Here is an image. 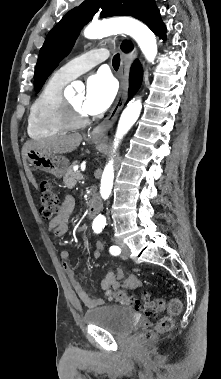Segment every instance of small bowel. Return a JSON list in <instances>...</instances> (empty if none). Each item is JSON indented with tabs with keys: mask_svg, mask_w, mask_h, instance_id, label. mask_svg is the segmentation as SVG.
<instances>
[{
	"mask_svg": "<svg viewBox=\"0 0 221 379\" xmlns=\"http://www.w3.org/2000/svg\"><path fill=\"white\" fill-rule=\"evenodd\" d=\"M74 199L71 196H66L63 200L59 213L50 221L49 230L53 238L63 236L68 230V222L74 209ZM103 250V245L100 242H95V256L98 257ZM62 265L67 278L72 284L78 298L88 307L101 305L103 300L101 298H91L76 277L75 271L70 267V252L62 250L60 253ZM140 281L134 274L125 275L123 270L117 268L116 270L109 269L105 277L101 280L99 285L100 291H124L133 290L139 287Z\"/></svg>",
	"mask_w": 221,
	"mask_h": 379,
	"instance_id": "1",
	"label": "small bowel"
}]
</instances>
